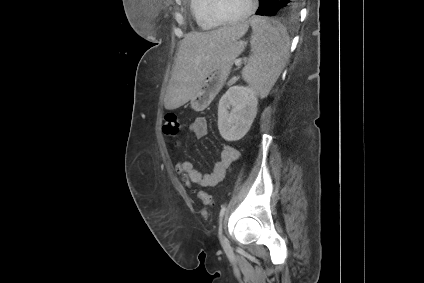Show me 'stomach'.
<instances>
[{"label":"stomach","instance_id":"obj_1","mask_svg":"<svg viewBox=\"0 0 424 283\" xmlns=\"http://www.w3.org/2000/svg\"><path fill=\"white\" fill-rule=\"evenodd\" d=\"M245 46L246 42L240 39L232 41L225 46L219 59L216 61L211 70L205 75L199 86V89L191 99V106L195 110L202 111L208 105V103L212 101L230 74L234 60L245 49ZM205 94H208L207 101L205 104L199 105L200 100Z\"/></svg>","mask_w":424,"mask_h":283}]
</instances>
